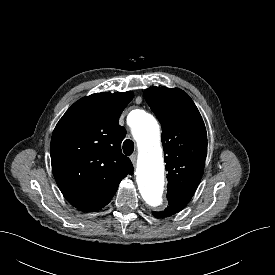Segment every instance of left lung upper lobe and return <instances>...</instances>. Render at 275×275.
Wrapping results in <instances>:
<instances>
[{
	"label": "left lung upper lobe",
	"mask_w": 275,
	"mask_h": 275,
	"mask_svg": "<svg viewBox=\"0 0 275 275\" xmlns=\"http://www.w3.org/2000/svg\"><path fill=\"white\" fill-rule=\"evenodd\" d=\"M144 97L162 125L167 196H193L207 154L205 124L192 99L181 89L152 87Z\"/></svg>",
	"instance_id": "5c2ea615"
}]
</instances>
